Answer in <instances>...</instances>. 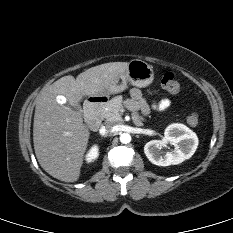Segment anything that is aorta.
I'll return each mask as SVG.
<instances>
[{
    "instance_id": "obj_1",
    "label": "aorta",
    "mask_w": 233,
    "mask_h": 233,
    "mask_svg": "<svg viewBox=\"0 0 233 233\" xmlns=\"http://www.w3.org/2000/svg\"><path fill=\"white\" fill-rule=\"evenodd\" d=\"M131 141V136L128 133H122L120 135V142L123 144H127Z\"/></svg>"
}]
</instances>
